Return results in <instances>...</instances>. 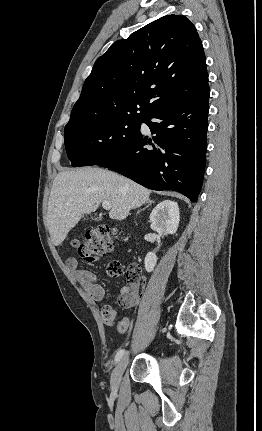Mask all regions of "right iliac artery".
Masks as SVG:
<instances>
[{"instance_id": "obj_1", "label": "right iliac artery", "mask_w": 262, "mask_h": 431, "mask_svg": "<svg viewBox=\"0 0 262 431\" xmlns=\"http://www.w3.org/2000/svg\"><path fill=\"white\" fill-rule=\"evenodd\" d=\"M125 354V350L121 349L117 352L116 356H115V362H119L120 359L123 357V355Z\"/></svg>"}]
</instances>
